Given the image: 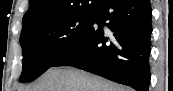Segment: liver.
Wrapping results in <instances>:
<instances>
[{
  "label": "liver",
  "mask_w": 173,
  "mask_h": 91,
  "mask_svg": "<svg viewBox=\"0 0 173 91\" xmlns=\"http://www.w3.org/2000/svg\"><path fill=\"white\" fill-rule=\"evenodd\" d=\"M23 91H131L74 67H52Z\"/></svg>",
  "instance_id": "obj_1"
}]
</instances>
